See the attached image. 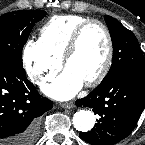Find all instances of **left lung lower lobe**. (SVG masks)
<instances>
[{
  "instance_id": "1",
  "label": "left lung lower lobe",
  "mask_w": 145,
  "mask_h": 145,
  "mask_svg": "<svg viewBox=\"0 0 145 145\" xmlns=\"http://www.w3.org/2000/svg\"><path fill=\"white\" fill-rule=\"evenodd\" d=\"M100 116L91 131L80 137L92 145H113L136 126L145 106V77L124 74L100 84L88 96L76 100Z\"/></svg>"
}]
</instances>
